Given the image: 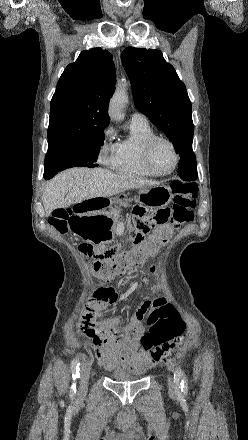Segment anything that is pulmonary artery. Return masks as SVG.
<instances>
[{
	"label": "pulmonary artery",
	"instance_id": "1",
	"mask_svg": "<svg viewBox=\"0 0 248 440\" xmlns=\"http://www.w3.org/2000/svg\"><path fill=\"white\" fill-rule=\"evenodd\" d=\"M131 121L134 122H147V117L141 113H133L131 117Z\"/></svg>",
	"mask_w": 248,
	"mask_h": 440
}]
</instances>
